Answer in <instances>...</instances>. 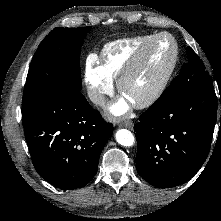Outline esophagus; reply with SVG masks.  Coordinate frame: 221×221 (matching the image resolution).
Instances as JSON below:
<instances>
[{
    "mask_svg": "<svg viewBox=\"0 0 221 221\" xmlns=\"http://www.w3.org/2000/svg\"><path fill=\"white\" fill-rule=\"evenodd\" d=\"M119 126L120 127H126V128H128V129H133V126H134V124H133V122L132 121H124V122H121L120 124H119Z\"/></svg>",
    "mask_w": 221,
    "mask_h": 221,
    "instance_id": "34e87169",
    "label": "esophagus"
}]
</instances>
